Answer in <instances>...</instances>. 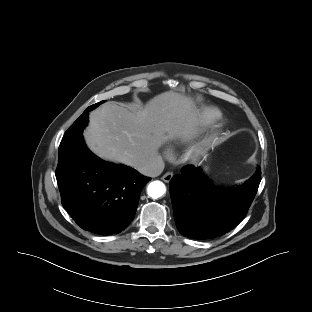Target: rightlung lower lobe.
<instances>
[{
    "label": "right lung lower lobe",
    "mask_w": 312,
    "mask_h": 312,
    "mask_svg": "<svg viewBox=\"0 0 312 312\" xmlns=\"http://www.w3.org/2000/svg\"><path fill=\"white\" fill-rule=\"evenodd\" d=\"M56 178L65 210L82 229L100 235L120 233L131 223L151 179L131 167L102 161L83 138L58 161Z\"/></svg>",
    "instance_id": "1"
}]
</instances>
